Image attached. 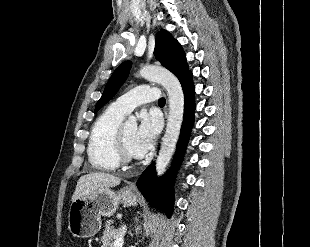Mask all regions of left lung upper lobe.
Masks as SVG:
<instances>
[{"instance_id":"5c2ea615","label":"left lung upper lobe","mask_w":310,"mask_h":247,"mask_svg":"<svg viewBox=\"0 0 310 247\" xmlns=\"http://www.w3.org/2000/svg\"><path fill=\"white\" fill-rule=\"evenodd\" d=\"M154 55L179 80L189 72L181 45L164 29L156 35ZM131 66V61H125L116 68L105 87L102 97L96 104L95 113L117 93L127 79Z\"/></svg>"}]
</instances>
